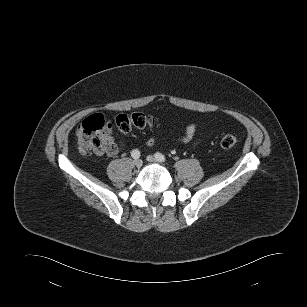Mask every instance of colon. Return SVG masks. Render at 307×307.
Returning <instances> with one entry per match:
<instances>
[{
    "label": "colon",
    "instance_id": "5ec220e1",
    "mask_svg": "<svg viewBox=\"0 0 307 307\" xmlns=\"http://www.w3.org/2000/svg\"><path fill=\"white\" fill-rule=\"evenodd\" d=\"M152 116L144 113L119 114L114 119L117 130L121 133H128L134 128H145L154 125ZM109 127L101 114H93L85 118L77 127L76 134L79 145L84 151L96 153L107 150L110 139L107 136ZM113 140V139H112ZM238 143L237 136L226 134L222 137L220 144L224 149H230Z\"/></svg>",
    "mask_w": 307,
    "mask_h": 307
}]
</instances>
